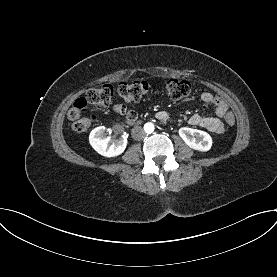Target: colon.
I'll return each mask as SVG.
<instances>
[{
  "mask_svg": "<svg viewBox=\"0 0 277 277\" xmlns=\"http://www.w3.org/2000/svg\"><path fill=\"white\" fill-rule=\"evenodd\" d=\"M151 89L152 85L144 80L120 82L116 85L105 84L90 89L85 97L77 99L73 107L68 111V118L73 121V130L76 132H85L93 124V115L81 117L88 104L106 108L111 104L115 96H119L128 102H135L145 97ZM166 91L171 99L179 100L189 95L191 86L188 81L170 79L166 83ZM224 121L229 125H234L236 123L234 113L227 111L224 115Z\"/></svg>",
  "mask_w": 277,
  "mask_h": 277,
  "instance_id": "5ec220e1",
  "label": "colon"
}]
</instances>
